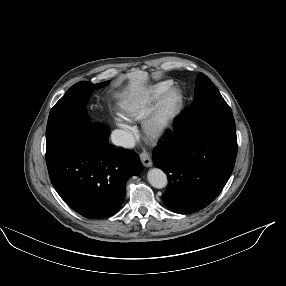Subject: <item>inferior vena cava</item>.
Here are the masks:
<instances>
[{
  "label": "inferior vena cava",
  "instance_id": "602c4592",
  "mask_svg": "<svg viewBox=\"0 0 286 286\" xmlns=\"http://www.w3.org/2000/svg\"><path fill=\"white\" fill-rule=\"evenodd\" d=\"M111 141L116 146L132 148L135 140L131 132L125 129H116L111 134Z\"/></svg>",
  "mask_w": 286,
  "mask_h": 286
}]
</instances>
